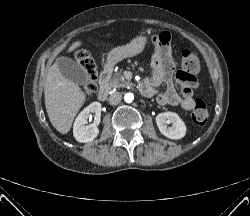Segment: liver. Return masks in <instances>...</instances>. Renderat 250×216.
I'll return each mask as SVG.
<instances>
[{"label":"liver","mask_w":250,"mask_h":216,"mask_svg":"<svg viewBox=\"0 0 250 216\" xmlns=\"http://www.w3.org/2000/svg\"><path fill=\"white\" fill-rule=\"evenodd\" d=\"M81 45V41L74 42L68 52L74 51ZM44 98L46 111L53 127L60 133L67 134L86 96L77 84L61 73L57 62L47 73Z\"/></svg>","instance_id":"liver-1"}]
</instances>
